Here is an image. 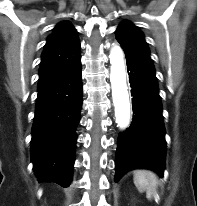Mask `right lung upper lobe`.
Here are the masks:
<instances>
[{"label": "right lung upper lobe", "mask_w": 197, "mask_h": 206, "mask_svg": "<svg viewBox=\"0 0 197 206\" xmlns=\"http://www.w3.org/2000/svg\"><path fill=\"white\" fill-rule=\"evenodd\" d=\"M80 58L77 31L67 21L59 23L44 46L39 69L38 90L67 74Z\"/></svg>", "instance_id": "1"}]
</instances>
